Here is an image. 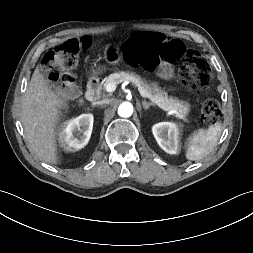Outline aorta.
Returning <instances> with one entry per match:
<instances>
[{"label": "aorta", "instance_id": "762f6f07", "mask_svg": "<svg viewBox=\"0 0 253 253\" xmlns=\"http://www.w3.org/2000/svg\"><path fill=\"white\" fill-rule=\"evenodd\" d=\"M118 114L121 117L127 118L133 114V106L129 102H123L118 107Z\"/></svg>", "mask_w": 253, "mask_h": 253}]
</instances>
